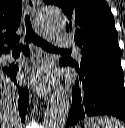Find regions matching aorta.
<instances>
[{
    "label": "aorta",
    "instance_id": "1",
    "mask_svg": "<svg viewBox=\"0 0 125 128\" xmlns=\"http://www.w3.org/2000/svg\"><path fill=\"white\" fill-rule=\"evenodd\" d=\"M40 27L49 35L65 29V16L56 6H43L37 15ZM71 99L68 92L59 87L51 96L45 112V128H64L70 111Z\"/></svg>",
    "mask_w": 125,
    "mask_h": 128
}]
</instances>
